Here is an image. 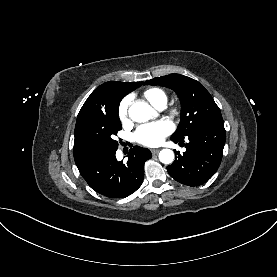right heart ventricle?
I'll list each match as a JSON object with an SVG mask.
<instances>
[{"label": "right heart ventricle", "instance_id": "right-heart-ventricle-1", "mask_svg": "<svg viewBox=\"0 0 277 277\" xmlns=\"http://www.w3.org/2000/svg\"><path fill=\"white\" fill-rule=\"evenodd\" d=\"M142 96L149 104H151L155 108L165 106L167 102L166 93L162 89L157 87L146 89L143 92Z\"/></svg>", "mask_w": 277, "mask_h": 277}]
</instances>
